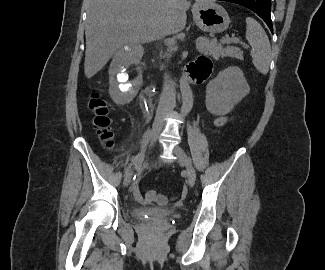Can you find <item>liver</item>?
Instances as JSON below:
<instances>
[{"label":"liver","mask_w":325,"mask_h":270,"mask_svg":"<svg viewBox=\"0 0 325 270\" xmlns=\"http://www.w3.org/2000/svg\"><path fill=\"white\" fill-rule=\"evenodd\" d=\"M188 7L186 0H88L85 76L93 77L123 45L140 58L141 44L181 32Z\"/></svg>","instance_id":"6515ba94"}]
</instances>
